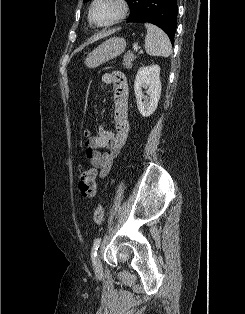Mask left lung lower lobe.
<instances>
[{"label": "left lung lower lobe", "instance_id": "obj_1", "mask_svg": "<svg viewBox=\"0 0 245 314\" xmlns=\"http://www.w3.org/2000/svg\"><path fill=\"white\" fill-rule=\"evenodd\" d=\"M177 14V0H143L139 12L130 16L128 22L152 23L164 30L173 44Z\"/></svg>", "mask_w": 245, "mask_h": 314}]
</instances>
